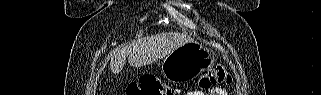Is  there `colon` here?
I'll list each match as a JSON object with an SVG mask.
<instances>
[{"mask_svg":"<svg viewBox=\"0 0 321 95\" xmlns=\"http://www.w3.org/2000/svg\"><path fill=\"white\" fill-rule=\"evenodd\" d=\"M232 77L225 68H216L207 71L199 80L202 89L212 86L230 84ZM180 90L166 85L155 76H143L138 81L132 82L126 89L127 95H176Z\"/></svg>","mask_w":321,"mask_h":95,"instance_id":"colon-1","label":"colon"}]
</instances>
